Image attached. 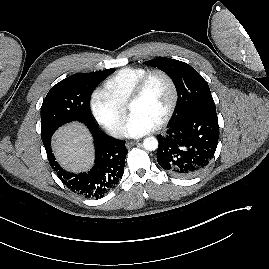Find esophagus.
I'll return each instance as SVG.
<instances>
[{
	"label": "esophagus",
	"mask_w": 269,
	"mask_h": 269,
	"mask_svg": "<svg viewBox=\"0 0 269 269\" xmlns=\"http://www.w3.org/2000/svg\"><path fill=\"white\" fill-rule=\"evenodd\" d=\"M139 141H128L126 142V147L129 149L131 147H133L134 145H136Z\"/></svg>",
	"instance_id": "esophagus-1"
}]
</instances>
